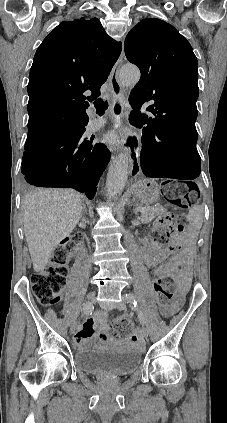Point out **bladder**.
I'll return each mask as SVG.
<instances>
[{
	"label": "bladder",
	"instance_id": "31cf9c89",
	"mask_svg": "<svg viewBox=\"0 0 227 423\" xmlns=\"http://www.w3.org/2000/svg\"><path fill=\"white\" fill-rule=\"evenodd\" d=\"M73 362L80 371L88 376L124 379L140 367L142 352L138 349L83 350L74 353Z\"/></svg>",
	"mask_w": 227,
	"mask_h": 423
}]
</instances>
